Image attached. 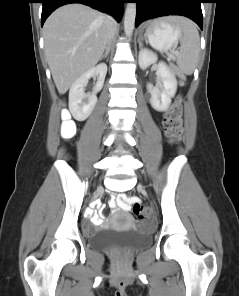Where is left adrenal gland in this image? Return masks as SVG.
<instances>
[{
  "instance_id": "obj_1",
  "label": "left adrenal gland",
  "mask_w": 239,
  "mask_h": 296,
  "mask_svg": "<svg viewBox=\"0 0 239 296\" xmlns=\"http://www.w3.org/2000/svg\"><path fill=\"white\" fill-rule=\"evenodd\" d=\"M138 43H139V47L141 48V46H142V38L141 37H139Z\"/></svg>"
}]
</instances>
